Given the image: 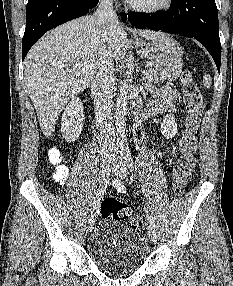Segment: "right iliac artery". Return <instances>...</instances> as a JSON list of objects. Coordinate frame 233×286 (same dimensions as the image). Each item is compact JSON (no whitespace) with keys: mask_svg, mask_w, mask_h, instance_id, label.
Masks as SVG:
<instances>
[{"mask_svg":"<svg viewBox=\"0 0 233 286\" xmlns=\"http://www.w3.org/2000/svg\"><path fill=\"white\" fill-rule=\"evenodd\" d=\"M109 177H110V173L107 174L106 176H103V179L101 181V184H100V188L96 194V197L94 199V201L91 203L89 209H88V216L89 217H92L93 216V213L97 207V204L101 198V196L104 194L108 184H109Z\"/></svg>","mask_w":233,"mask_h":286,"instance_id":"obj_1","label":"right iliac artery"}]
</instances>
